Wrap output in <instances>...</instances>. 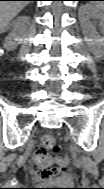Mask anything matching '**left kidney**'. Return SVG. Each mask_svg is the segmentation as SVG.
<instances>
[{
	"label": "left kidney",
	"instance_id": "obj_1",
	"mask_svg": "<svg viewBox=\"0 0 104 189\" xmlns=\"http://www.w3.org/2000/svg\"><path fill=\"white\" fill-rule=\"evenodd\" d=\"M102 9L103 8H94V7L89 6V5L84 6L83 9H82V12H81L82 21H85L89 17H93V18H96V19L103 21L104 15L100 11ZM96 55H97V57H100L101 54L96 53Z\"/></svg>",
	"mask_w": 104,
	"mask_h": 189
}]
</instances>
